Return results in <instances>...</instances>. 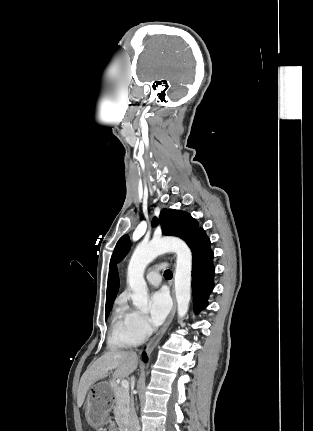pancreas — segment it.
<instances>
[{"label":"pancreas","mask_w":313,"mask_h":431,"mask_svg":"<svg viewBox=\"0 0 313 431\" xmlns=\"http://www.w3.org/2000/svg\"><path fill=\"white\" fill-rule=\"evenodd\" d=\"M114 396H115V406H114V415L115 420L122 426L128 416L129 407H130V397L128 389H125L121 386H115L114 388Z\"/></svg>","instance_id":"pancreas-1"}]
</instances>
